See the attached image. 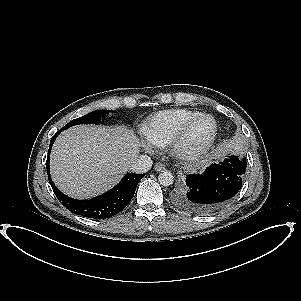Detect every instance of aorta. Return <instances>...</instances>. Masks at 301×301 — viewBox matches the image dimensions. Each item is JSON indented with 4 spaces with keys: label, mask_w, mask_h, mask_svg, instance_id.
Returning a JSON list of instances; mask_svg holds the SVG:
<instances>
[{
    "label": "aorta",
    "mask_w": 301,
    "mask_h": 301,
    "mask_svg": "<svg viewBox=\"0 0 301 301\" xmlns=\"http://www.w3.org/2000/svg\"><path fill=\"white\" fill-rule=\"evenodd\" d=\"M158 181L162 186L167 187L173 184L174 176L171 172L165 170L159 174Z\"/></svg>",
    "instance_id": "1"
}]
</instances>
